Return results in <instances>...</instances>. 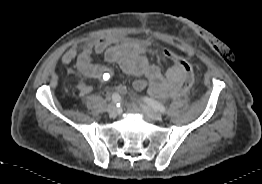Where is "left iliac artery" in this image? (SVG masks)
Listing matches in <instances>:
<instances>
[{"instance_id": "left-iliac-artery-1", "label": "left iliac artery", "mask_w": 262, "mask_h": 184, "mask_svg": "<svg viewBox=\"0 0 262 184\" xmlns=\"http://www.w3.org/2000/svg\"><path fill=\"white\" fill-rule=\"evenodd\" d=\"M145 101L147 102L148 105H150L153 109L160 111L161 113H168L167 109L158 103L156 100L152 98H145Z\"/></svg>"}]
</instances>
